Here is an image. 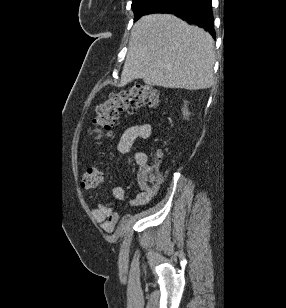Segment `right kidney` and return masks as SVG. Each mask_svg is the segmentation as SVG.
I'll use <instances>...</instances> for the list:
<instances>
[{"label": "right kidney", "instance_id": "1", "mask_svg": "<svg viewBox=\"0 0 286 308\" xmlns=\"http://www.w3.org/2000/svg\"><path fill=\"white\" fill-rule=\"evenodd\" d=\"M182 112H183V115H184L185 118H187L190 115V113L188 112L187 107L183 108Z\"/></svg>", "mask_w": 286, "mask_h": 308}]
</instances>
